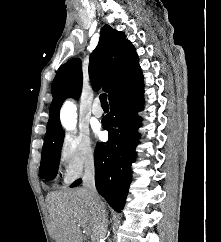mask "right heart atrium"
Instances as JSON below:
<instances>
[{"label": "right heart atrium", "mask_w": 221, "mask_h": 242, "mask_svg": "<svg viewBox=\"0 0 221 242\" xmlns=\"http://www.w3.org/2000/svg\"><path fill=\"white\" fill-rule=\"evenodd\" d=\"M58 160L64 170V181L69 184L85 171L93 169L96 151L86 134H65L58 147Z\"/></svg>", "instance_id": "obj_1"}]
</instances>
